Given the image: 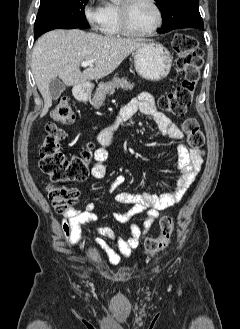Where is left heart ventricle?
<instances>
[{
  "mask_svg": "<svg viewBox=\"0 0 240 329\" xmlns=\"http://www.w3.org/2000/svg\"><path fill=\"white\" fill-rule=\"evenodd\" d=\"M157 21L155 9L148 0H136L129 13L130 26L135 31H146Z\"/></svg>",
  "mask_w": 240,
  "mask_h": 329,
  "instance_id": "b2bd125f",
  "label": "left heart ventricle"
}]
</instances>
